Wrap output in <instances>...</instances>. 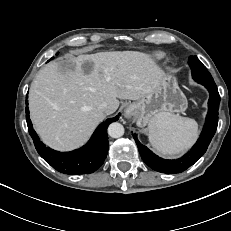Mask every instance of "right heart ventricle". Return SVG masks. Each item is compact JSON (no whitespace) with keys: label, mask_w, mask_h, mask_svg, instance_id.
Instances as JSON below:
<instances>
[{"label":"right heart ventricle","mask_w":231,"mask_h":231,"mask_svg":"<svg viewBox=\"0 0 231 231\" xmlns=\"http://www.w3.org/2000/svg\"><path fill=\"white\" fill-rule=\"evenodd\" d=\"M152 57L155 61H162L165 58V54L163 52H154Z\"/></svg>","instance_id":"obj_1"}]
</instances>
